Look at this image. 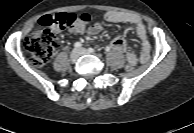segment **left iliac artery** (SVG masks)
I'll return each instance as SVG.
<instances>
[{
	"mask_svg": "<svg viewBox=\"0 0 194 133\" xmlns=\"http://www.w3.org/2000/svg\"><path fill=\"white\" fill-rule=\"evenodd\" d=\"M88 50H89V52H91V53H94V52H95V50H94L93 48H89Z\"/></svg>",
	"mask_w": 194,
	"mask_h": 133,
	"instance_id": "left-iliac-artery-1",
	"label": "left iliac artery"
}]
</instances>
